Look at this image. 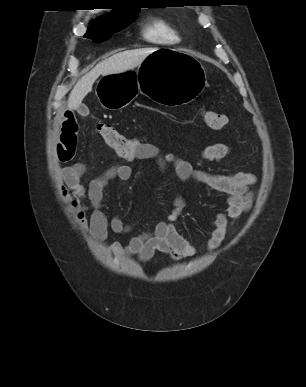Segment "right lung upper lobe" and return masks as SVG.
<instances>
[{"mask_svg":"<svg viewBox=\"0 0 306 387\" xmlns=\"http://www.w3.org/2000/svg\"><path fill=\"white\" fill-rule=\"evenodd\" d=\"M132 10H139V8H128L126 10L124 9H118L116 11H114L113 13H111L110 15H107L103 18H99L97 20L94 21V23H104V22H107L109 21L111 18H114L116 17L118 14L120 13H123V12H128V11H132Z\"/></svg>","mask_w":306,"mask_h":387,"instance_id":"1","label":"right lung upper lobe"}]
</instances>
